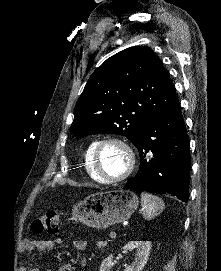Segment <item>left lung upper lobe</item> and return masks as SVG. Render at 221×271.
Instances as JSON below:
<instances>
[{
	"label": "left lung upper lobe",
	"instance_id": "left-lung-upper-lobe-1",
	"mask_svg": "<svg viewBox=\"0 0 221 271\" xmlns=\"http://www.w3.org/2000/svg\"><path fill=\"white\" fill-rule=\"evenodd\" d=\"M175 99L169 73L153 50L130 47L93 72L76 103L71 133L121 134L134 143L145 123Z\"/></svg>",
	"mask_w": 221,
	"mask_h": 271
}]
</instances>
